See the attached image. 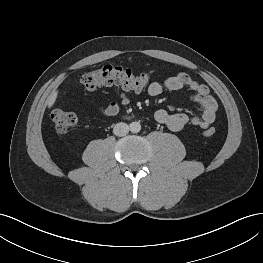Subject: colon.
Wrapping results in <instances>:
<instances>
[{
    "instance_id": "obj_1",
    "label": "colon",
    "mask_w": 263,
    "mask_h": 263,
    "mask_svg": "<svg viewBox=\"0 0 263 263\" xmlns=\"http://www.w3.org/2000/svg\"><path fill=\"white\" fill-rule=\"evenodd\" d=\"M149 80L150 74L147 72L136 73L122 65L104 64L84 73L80 78V83L87 90L118 85L125 89L139 91L147 86ZM51 117L58 132H66L78 123L76 112L67 108L55 109ZM215 133L216 129L213 127L205 131L207 137L213 136Z\"/></svg>"
}]
</instances>
